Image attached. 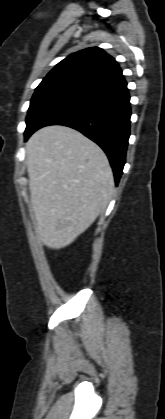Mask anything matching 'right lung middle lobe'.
<instances>
[{"label": "right lung middle lobe", "instance_id": "obj_1", "mask_svg": "<svg viewBox=\"0 0 165 419\" xmlns=\"http://www.w3.org/2000/svg\"><path fill=\"white\" fill-rule=\"evenodd\" d=\"M82 95L81 92L61 87L36 89L26 117L25 139L46 115Z\"/></svg>", "mask_w": 165, "mask_h": 419}]
</instances>
